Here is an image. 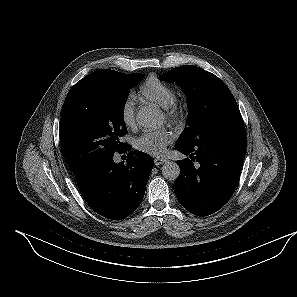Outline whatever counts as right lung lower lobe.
<instances>
[{
	"mask_svg": "<svg viewBox=\"0 0 297 297\" xmlns=\"http://www.w3.org/2000/svg\"><path fill=\"white\" fill-rule=\"evenodd\" d=\"M130 150L127 146L120 153ZM153 165L148 154L130 151L126 163H115L113 156L98 160L76 174V181L94 211L108 219L120 220L142 202Z\"/></svg>",
	"mask_w": 297,
	"mask_h": 297,
	"instance_id": "obj_1",
	"label": "right lung lower lobe"
}]
</instances>
